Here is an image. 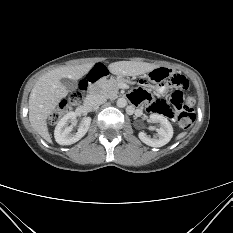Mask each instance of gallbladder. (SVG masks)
<instances>
[{
    "label": "gallbladder",
    "instance_id": "obj_1",
    "mask_svg": "<svg viewBox=\"0 0 233 233\" xmlns=\"http://www.w3.org/2000/svg\"><path fill=\"white\" fill-rule=\"evenodd\" d=\"M60 82L68 91H75L78 87V82L76 80L62 78Z\"/></svg>",
    "mask_w": 233,
    "mask_h": 233
}]
</instances>
